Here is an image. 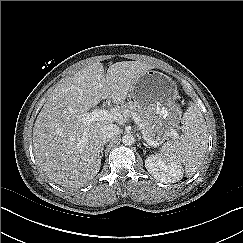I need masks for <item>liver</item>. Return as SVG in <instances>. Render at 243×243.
<instances>
[{
  "mask_svg": "<svg viewBox=\"0 0 243 243\" xmlns=\"http://www.w3.org/2000/svg\"><path fill=\"white\" fill-rule=\"evenodd\" d=\"M153 68L141 61H122L110 65L105 73L102 63L96 62L57 84L33 128L34 156L50 180L77 189L97 175L101 129L114 119L84 125L82 114L106 98L122 105L144 72ZM118 111L114 108L110 112Z\"/></svg>",
  "mask_w": 243,
  "mask_h": 243,
  "instance_id": "6515ba94",
  "label": "liver"
}]
</instances>
